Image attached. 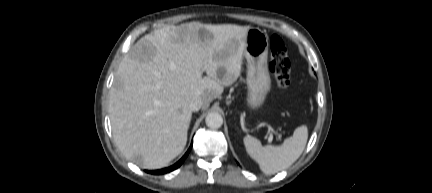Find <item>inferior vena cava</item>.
Segmentation results:
<instances>
[{"label": "inferior vena cava", "instance_id": "1", "mask_svg": "<svg viewBox=\"0 0 432 193\" xmlns=\"http://www.w3.org/2000/svg\"><path fill=\"white\" fill-rule=\"evenodd\" d=\"M202 106H203V100L199 96L193 97L189 105L191 111L194 112L200 110Z\"/></svg>", "mask_w": 432, "mask_h": 193}]
</instances>
